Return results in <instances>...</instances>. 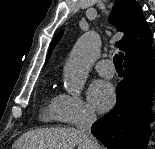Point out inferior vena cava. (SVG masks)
<instances>
[{
	"label": "inferior vena cava",
	"mask_w": 155,
	"mask_h": 149,
	"mask_svg": "<svg viewBox=\"0 0 155 149\" xmlns=\"http://www.w3.org/2000/svg\"><path fill=\"white\" fill-rule=\"evenodd\" d=\"M96 115L90 111L84 112L79 124V130L83 135L87 149H100L97 139L91 133L92 124L96 121Z\"/></svg>",
	"instance_id": "602c4592"
}]
</instances>
